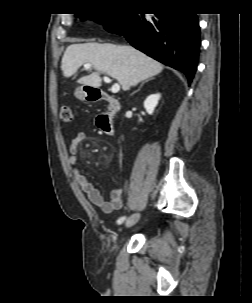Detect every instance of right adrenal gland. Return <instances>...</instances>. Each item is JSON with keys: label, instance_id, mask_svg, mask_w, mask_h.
Wrapping results in <instances>:
<instances>
[{"label": "right adrenal gland", "instance_id": "1", "mask_svg": "<svg viewBox=\"0 0 252 303\" xmlns=\"http://www.w3.org/2000/svg\"><path fill=\"white\" fill-rule=\"evenodd\" d=\"M148 81H149V80L144 81V82L140 85V87H139V89H138L137 91H139V90L141 89V87L144 85V83H146V82H148ZM137 91L133 92L131 95L135 94Z\"/></svg>", "mask_w": 252, "mask_h": 303}]
</instances>
